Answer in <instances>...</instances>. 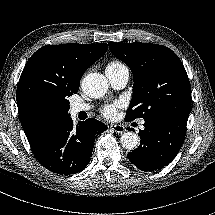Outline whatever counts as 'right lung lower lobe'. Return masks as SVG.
Here are the masks:
<instances>
[{"label": "right lung lower lobe", "mask_w": 215, "mask_h": 215, "mask_svg": "<svg viewBox=\"0 0 215 215\" xmlns=\"http://www.w3.org/2000/svg\"><path fill=\"white\" fill-rule=\"evenodd\" d=\"M105 130L107 126L94 118L74 127L72 118L68 115L50 130L32 152L41 165L54 173H78L90 161L96 135Z\"/></svg>", "instance_id": "right-lung-lower-lobe-1"}]
</instances>
